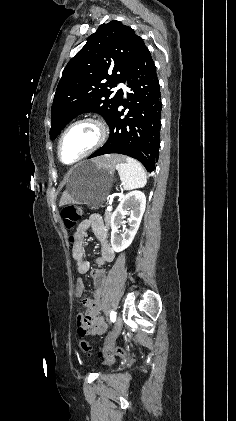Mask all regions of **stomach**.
I'll return each instance as SVG.
<instances>
[{
    "mask_svg": "<svg viewBox=\"0 0 236 421\" xmlns=\"http://www.w3.org/2000/svg\"><path fill=\"white\" fill-rule=\"evenodd\" d=\"M114 182V166H103L94 160H82L71 168L67 190L75 204L102 206Z\"/></svg>",
    "mask_w": 236,
    "mask_h": 421,
    "instance_id": "1",
    "label": "stomach"
}]
</instances>
